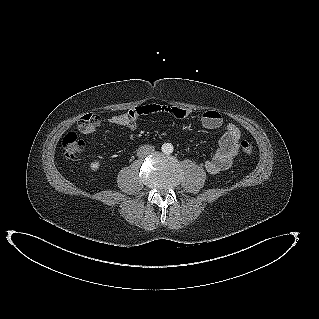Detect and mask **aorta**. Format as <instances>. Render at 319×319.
<instances>
[{
    "label": "aorta",
    "instance_id": "obj_1",
    "mask_svg": "<svg viewBox=\"0 0 319 319\" xmlns=\"http://www.w3.org/2000/svg\"><path fill=\"white\" fill-rule=\"evenodd\" d=\"M161 149L163 153L171 154L173 152V145L171 143H164Z\"/></svg>",
    "mask_w": 319,
    "mask_h": 319
}]
</instances>
